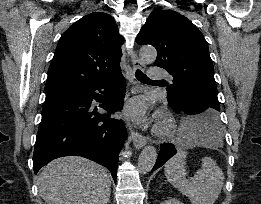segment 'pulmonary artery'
Returning <instances> with one entry per match:
<instances>
[{"instance_id": "obj_1", "label": "pulmonary artery", "mask_w": 261, "mask_h": 204, "mask_svg": "<svg viewBox=\"0 0 261 204\" xmlns=\"http://www.w3.org/2000/svg\"><path fill=\"white\" fill-rule=\"evenodd\" d=\"M149 77L152 80H159L168 77L167 72L159 67H151L149 70Z\"/></svg>"}]
</instances>
